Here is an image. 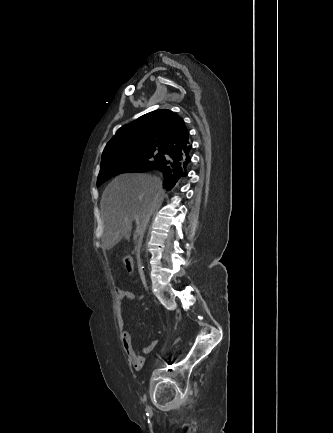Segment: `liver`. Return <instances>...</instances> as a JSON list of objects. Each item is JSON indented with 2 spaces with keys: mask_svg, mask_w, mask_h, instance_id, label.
I'll return each instance as SVG.
<instances>
[{
  "mask_svg": "<svg viewBox=\"0 0 333 433\" xmlns=\"http://www.w3.org/2000/svg\"><path fill=\"white\" fill-rule=\"evenodd\" d=\"M159 182L149 174L130 173L116 177L105 188L100 203L104 250H111L123 238L130 239L134 216L138 217L137 226L142 230L146 215L151 216L164 198Z\"/></svg>",
  "mask_w": 333,
  "mask_h": 433,
  "instance_id": "liver-1",
  "label": "liver"
}]
</instances>
